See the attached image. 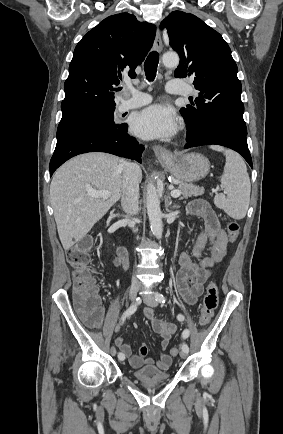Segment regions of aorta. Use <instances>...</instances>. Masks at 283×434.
<instances>
[{
    "label": "aorta",
    "mask_w": 283,
    "mask_h": 434,
    "mask_svg": "<svg viewBox=\"0 0 283 434\" xmlns=\"http://www.w3.org/2000/svg\"><path fill=\"white\" fill-rule=\"evenodd\" d=\"M162 62L166 67H176L179 64V56L176 53H166L162 57ZM146 207L151 231L156 238L160 239L163 233L162 212L157 190L152 182L147 187Z\"/></svg>",
    "instance_id": "obj_1"
}]
</instances>
